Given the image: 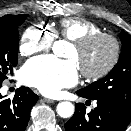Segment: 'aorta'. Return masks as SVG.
<instances>
[{
    "mask_svg": "<svg viewBox=\"0 0 131 131\" xmlns=\"http://www.w3.org/2000/svg\"><path fill=\"white\" fill-rule=\"evenodd\" d=\"M66 42L59 40L54 42L52 46L53 53L57 56H63L65 52ZM56 111L62 118H69L74 114V105L71 102L63 101L57 105Z\"/></svg>",
    "mask_w": 131,
    "mask_h": 131,
    "instance_id": "1",
    "label": "aorta"
}]
</instances>
